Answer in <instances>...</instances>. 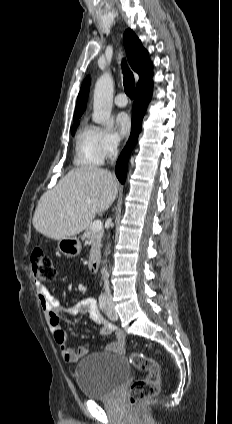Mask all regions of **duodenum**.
<instances>
[{
	"label": "duodenum",
	"mask_w": 232,
	"mask_h": 424,
	"mask_svg": "<svg viewBox=\"0 0 232 424\" xmlns=\"http://www.w3.org/2000/svg\"><path fill=\"white\" fill-rule=\"evenodd\" d=\"M99 266V256L95 254L89 261L88 269L90 272H95Z\"/></svg>",
	"instance_id": "duodenum-1"
}]
</instances>
